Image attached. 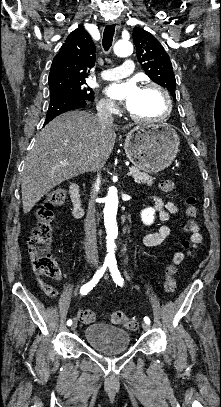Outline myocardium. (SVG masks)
Returning <instances> with one entry per match:
<instances>
[{"label":"myocardium","mask_w":221,"mask_h":407,"mask_svg":"<svg viewBox=\"0 0 221 407\" xmlns=\"http://www.w3.org/2000/svg\"><path fill=\"white\" fill-rule=\"evenodd\" d=\"M142 89H144V90H147V89H156V90H158L161 93V95L163 96V98H164L165 110H164V112H163V114L161 116L156 117V118L138 117L132 111H129V114H130L131 118L134 121L138 122V123H145V124H154V123H159V122L165 121L169 117V115H170V113L172 111V98H171V95L168 92V90L165 87H163L162 85H160L158 83H155V82L146 83L142 87Z\"/></svg>","instance_id":"f54148a6"}]
</instances>
